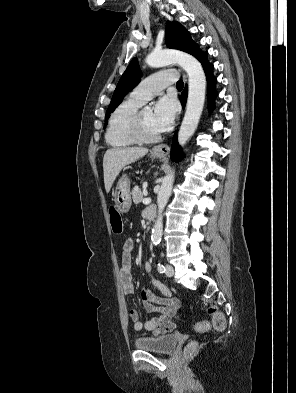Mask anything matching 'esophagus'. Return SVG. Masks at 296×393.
Returning <instances> with one entry per match:
<instances>
[{"label":"esophagus","mask_w":296,"mask_h":393,"mask_svg":"<svg viewBox=\"0 0 296 393\" xmlns=\"http://www.w3.org/2000/svg\"><path fill=\"white\" fill-rule=\"evenodd\" d=\"M183 77L186 81L187 77H186L185 73H183ZM152 151L156 154L166 156L170 152V147L167 144H159V145L154 146Z\"/></svg>","instance_id":"esophagus-1"}]
</instances>
